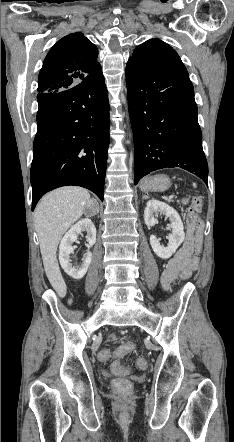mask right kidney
Instances as JSON below:
<instances>
[{
  "label": "right kidney",
  "instance_id": "right-kidney-1",
  "mask_svg": "<svg viewBox=\"0 0 234 442\" xmlns=\"http://www.w3.org/2000/svg\"><path fill=\"white\" fill-rule=\"evenodd\" d=\"M87 232L88 246H92L96 242V228L90 218H84L74 224L64 235L59 246V261L64 271L72 278L80 280L86 274L91 263L92 253L88 251L83 256V263L77 267L71 264L70 255L74 252L73 242L77 241L78 235Z\"/></svg>",
  "mask_w": 234,
  "mask_h": 442
}]
</instances>
